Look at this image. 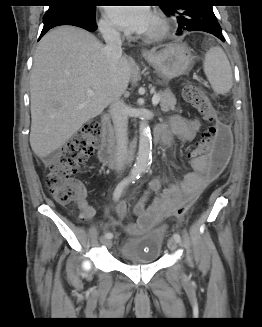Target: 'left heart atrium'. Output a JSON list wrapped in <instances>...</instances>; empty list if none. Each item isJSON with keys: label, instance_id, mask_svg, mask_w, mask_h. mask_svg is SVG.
Wrapping results in <instances>:
<instances>
[{"label": "left heart atrium", "instance_id": "39dd6f15", "mask_svg": "<svg viewBox=\"0 0 262 327\" xmlns=\"http://www.w3.org/2000/svg\"><path fill=\"white\" fill-rule=\"evenodd\" d=\"M108 16L126 32H145L153 21L150 10L143 5L112 6L108 8Z\"/></svg>", "mask_w": 262, "mask_h": 327}]
</instances>
